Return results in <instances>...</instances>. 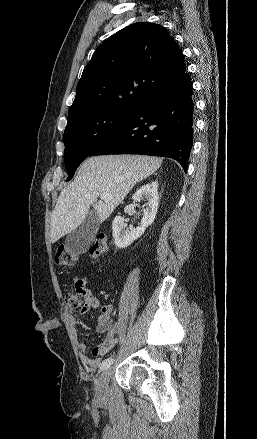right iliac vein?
Returning a JSON list of instances; mask_svg holds the SVG:
<instances>
[{
    "instance_id": "63e3f726",
    "label": "right iliac vein",
    "mask_w": 257,
    "mask_h": 439,
    "mask_svg": "<svg viewBox=\"0 0 257 439\" xmlns=\"http://www.w3.org/2000/svg\"><path fill=\"white\" fill-rule=\"evenodd\" d=\"M111 376V368H106L101 373L96 385L97 401H105L108 397V383Z\"/></svg>"
}]
</instances>
